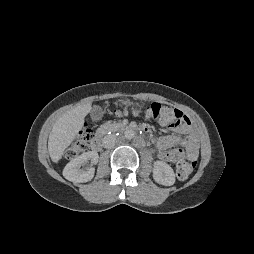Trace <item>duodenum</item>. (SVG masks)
Segmentation results:
<instances>
[{
	"instance_id": "obj_1",
	"label": "duodenum",
	"mask_w": 254,
	"mask_h": 254,
	"mask_svg": "<svg viewBox=\"0 0 254 254\" xmlns=\"http://www.w3.org/2000/svg\"><path fill=\"white\" fill-rule=\"evenodd\" d=\"M119 129L122 131H136V130H144L145 132L148 131L147 128L145 127H138V126H134V125H121L119 126ZM104 131L100 130L96 133V135L94 136V138L91 141V147L93 150L98 151L101 146H102V135H103Z\"/></svg>"
}]
</instances>
